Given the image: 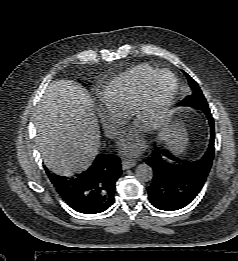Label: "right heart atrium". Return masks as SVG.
I'll return each mask as SVG.
<instances>
[{
  "label": "right heart atrium",
  "instance_id": "1",
  "mask_svg": "<svg viewBox=\"0 0 238 261\" xmlns=\"http://www.w3.org/2000/svg\"><path fill=\"white\" fill-rule=\"evenodd\" d=\"M99 120L105 135L109 138L115 137L125 123V116L100 109Z\"/></svg>",
  "mask_w": 238,
  "mask_h": 261
}]
</instances>
